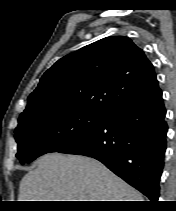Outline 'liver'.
I'll return each mask as SVG.
<instances>
[{
	"mask_svg": "<svg viewBox=\"0 0 176 211\" xmlns=\"http://www.w3.org/2000/svg\"><path fill=\"white\" fill-rule=\"evenodd\" d=\"M19 186V201H143L101 162L57 152L40 157Z\"/></svg>",
	"mask_w": 176,
	"mask_h": 211,
	"instance_id": "6515ba94",
	"label": "liver"
}]
</instances>
